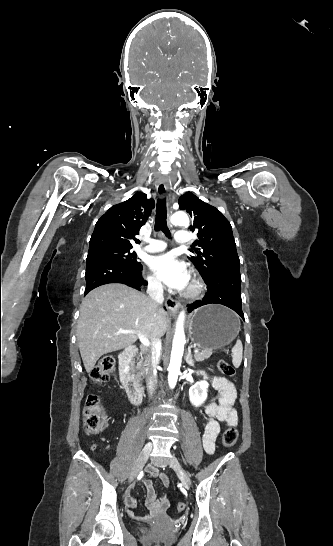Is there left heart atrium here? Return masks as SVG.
Here are the masks:
<instances>
[{"label": "left heart atrium", "instance_id": "1", "mask_svg": "<svg viewBox=\"0 0 333 546\" xmlns=\"http://www.w3.org/2000/svg\"><path fill=\"white\" fill-rule=\"evenodd\" d=\"M150 267L165 284L174 289H184L189 283V273L185 265L172 253L153 257Z\"/></svg>", "mask_w": 333, "mask_h": 546}]
</instances>
